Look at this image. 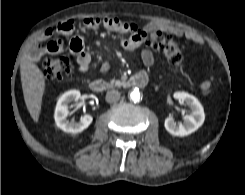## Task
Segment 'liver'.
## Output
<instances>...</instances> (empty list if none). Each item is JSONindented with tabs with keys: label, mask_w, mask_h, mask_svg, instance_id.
<instances>
[{
	"label": "liver",
	"mask_w": 245,
	"mask_h": 195,
	"mask_svg": "<svg viewBox=\"0 0 245 195\" xmlns=\"http://www.w3.org/2000/svg\"><path fill=\"white\" fill-rule=\"evenodd\" d=\"M20 74L26 107L34 122H38L46 85L43 73L32 59L25 55L20 64Z\"/></svg>",
	"instance_id": "1"
}]
</instances>
